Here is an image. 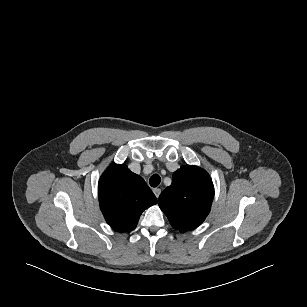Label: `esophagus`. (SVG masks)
<instances>
[{"instance_id": "esophagus-1", "label": "esophagus", "mask_w": 307, "mask_h": 307, "mask_svg": "<svg viewBox=\"0 0 307 307\" xmlns=\"http://www.w3.org/2000/svg\"><path fill=\"white\" fill-rule=\"evenodd\" d=\"M153 193L158 198L160 196V194H161V189L160 188H154L153 189Z\"/></svg>"}]
</instances>
